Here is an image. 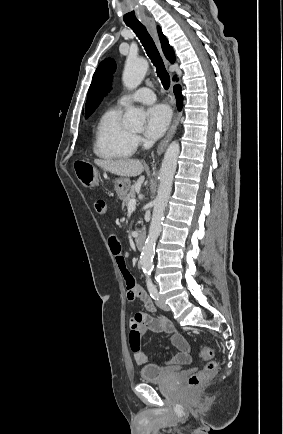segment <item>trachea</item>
Wrapping results in <instances>:
<instances>
[{
  "label": "trachea",
  "instance_id": "obj_1",
  "mask_svg": "<svg viewBox=\"0 0 283 434\" xmlns=\"http://www.w3.org/2000/svg\"><path fill=\"white\" fill-rule=\"evenodd\" d=\"M126 25L133 30V32L141 41L148 57L152 61L153 65L156 67L157 75L160 78L164 89L168 90V88L170 87V76L165 68L164 62L159 54V51L152 37L148 33L146 27L140 22L127 23Z\"/></svg>",
  "mask_w": 283,
  "mask_h": 434
}]
</instances>
